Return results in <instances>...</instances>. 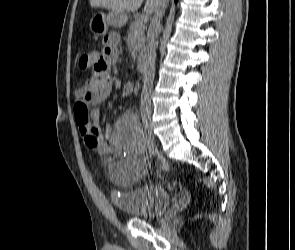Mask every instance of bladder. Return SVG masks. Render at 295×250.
I'll use <instances>...</instances> for the list:
<instances>
[{"label": "bladder", "mask_w": 295, "mask_h": 250, "mask_svg": "<svg viewBox=\"0 0 295 250\" xmlns=\"http://www.w3.org/2000/svg\"><path fill=\"white\" fill-rule=\"evenodd\" d=\"M104 164L111 170V166H116V161L108 157ZM110 196L116 208L133 218L155 219L161 216L169 205L166 189L154 183L127 186L126 190L115 186L111 189Z\"/></svg>", "instance_id": "bladder-1"}]
</instances>
